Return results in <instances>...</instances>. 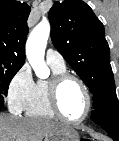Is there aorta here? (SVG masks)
Here are the masks:
<instances>
[{"label":"aorta","mask_w":119,"mask_h":141,"mask_svg":"<svg viewBox=\"0 0 119 141\" xmlns=\"http://www.w3.org/2000/svg\"><path fill=\"white\" fill-rule=\"evenodd\" d=\"M50 35V24L42 20L30 33L26 42V56L37 77L45 79L49 76V68L45 64L44 56Z\"/></svg>","instance_id":"762f6f07"}]
</instances>
